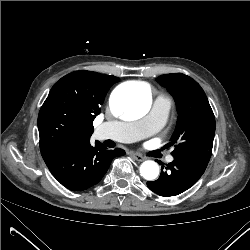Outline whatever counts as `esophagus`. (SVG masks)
<instances>
[{
	"mask_svg": "<svg viewBox=\"0 0 250 250\" xmlns=\"http://www.w3.org/2000/svg\"><path fill=\"white\" fill-rule=\"evenodd\" d=\"M130 155L133 157V159H135L138 162L144 161L145 159L142 155L137 153H131Z\"/></svg>",
	"mask_w": 250,
	"mask_h": 250,
	"instance_id": "obj_1",
	"label": "esophagus"
}]
</instances>
